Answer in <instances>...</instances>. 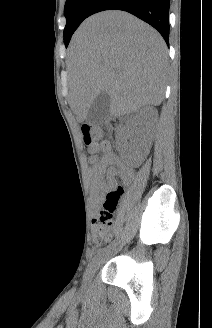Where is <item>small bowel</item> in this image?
<instances>
[{
  "label": "small bowel",
  "mask_w": 212,
  "mask_h": 328,
  "mask_svg": "<svg viewBox=\"0 0 212 328\" xmlns=\"http://www.w3.org/2000/svg\"><path fill=\"white\" fill-rule=\"evenodd\" d=\"M92 151L93 155L89 158L90 179L96 187V201H99L104 192L115 188L117 177L129 182L133 177V170L120 161L109 142H101ZM98 151L102 153L101 156L96 154ZM94 225L98 230L97 219L94 220Z\"/></svg>",
  "instance_id": "c3829d8e"
}]
</instances>
